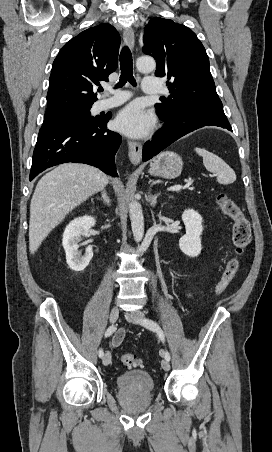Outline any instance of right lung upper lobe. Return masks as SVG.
<instances>
[{"mask_svg":"<svg viewBox=\"0 0 272 452\" xmlns=\"http://www.w3.org/2000/svg\"><path fill=\"white\" fill-rule=\"evenodd\" d=\"M120 36L110 24H100L67 42L55 58L45 115L92 106L93 89L118 65Z\"/></svg>","mask_w":272,"mask_h":452,"instance_id":"cb5924a9","label":"right lung upper lobe"}]
</instances>
